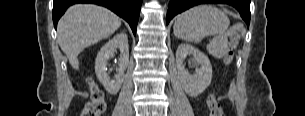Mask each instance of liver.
<instances>
[{
  "label": "liver",
  "instance_id": "liver-1",
  "mask_svg": "<svg viewBox=\"0 0 305 116\" xmlns=\"http://www.w3.org/2000/svg\"><path fill=\"white\" fill-rule=\"evenodd\" d=\"M120 26L121 19L105 7L92 4L73 5L58 23V43L70 65L79 69V53L109 37Z\"/></svg>",
  "mask_w": 305,
  "mask_h": 116
}]
</instances>
